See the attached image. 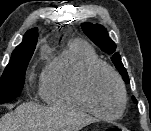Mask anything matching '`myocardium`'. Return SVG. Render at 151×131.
I'll list each match as a JSON object with an SVG mask.
<instances>
[{
  "instance_id": "obj_1",
  "label": "myocardium",
  "mask_w": 151,
  "mask_h": 131,
  "mask_svg": "<svg viewBox=\"0 0 151 131\" xmlns=\"http://www.w3.org/2000/svg\"><path fill=\"white\" fill-rule=\"evenodd\" d=\"M101 69L106 70L108 73L111 74L120 91L121 106L119 111L114 115H107L98 111L93 105L89 95V90H88L89 80L95 72ZM76 92L84 107L94 116L103 120H116L124 114L127 108V101H128L127 91L120 75L110 65L100 60L90 63L85 68V70L83 71V73L81 74L80 78L77 81Z\"/></svg>"
}]
</instances>
